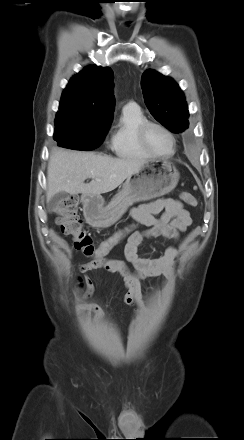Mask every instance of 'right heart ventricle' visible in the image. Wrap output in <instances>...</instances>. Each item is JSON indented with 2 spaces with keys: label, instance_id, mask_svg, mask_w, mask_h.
Masks as SVG:
<instances>
[{
  "label": "right heart ventricle",
  "instance_id": "1",
  "mask_svg": "<svg viewBox=\"0 0 244 440\" xmlns=\"http://www.w3.org/2000/svg\"><path fill=\"white\" fill-rule=\"evenodd\" d=\"M147 121L140 108H123L111 136V149L121 158H149L137 141L138 126Z\"/></svg>",
  "mask_w": 244,
  "mask_h": 440
}]
</instances>
